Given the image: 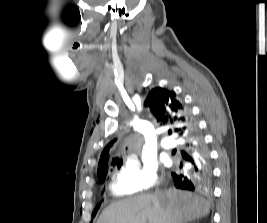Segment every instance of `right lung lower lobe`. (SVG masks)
<instances>
[{
	"label": "right lung lower lobe",
	"mask_w": 267,
	"mask_h": 223,
	"mask_svg": "<svg viewBox=\"0 0 267 223\" xmlns=\"http://www.w3.org/2000/svg\"><path fill=\"white\" fill-rule=\"evenodd\" d=\"M185 140L188 154L184 158L190 165L171 173L174 185L190 191L206 189L212 181L211 159L197 124Z\"/></svg>",
	"instance_id": "98d812e1"
}]
</instances>
